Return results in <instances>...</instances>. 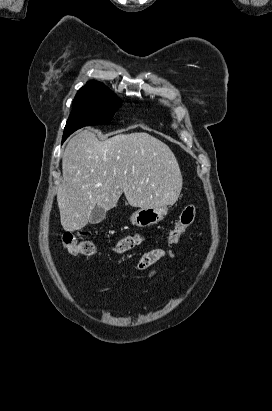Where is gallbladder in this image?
<instances>
[{
  "instance_id": "gallbladder-1",
  "label": "gallbladder",
  "mask_w": 272,
  "mask_h": 411,
  "mask_svg": "<svg viewBox=\"0 0 272 411\" xmlns=\"http://www.w3.org/2000/svg\"><path fill=\"white\" fill-rule=\"evenodd\" d=\"M106 210L101 206H95L91 211L89 223L90 224H98L105 219Z\"/></svg>"
}]
</instances>
